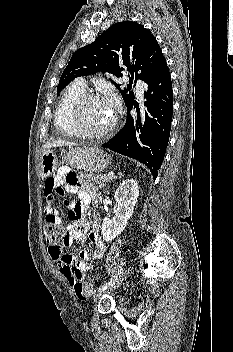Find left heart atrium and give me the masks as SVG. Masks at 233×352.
I'll return each mask as SVG.
<instances>
[{
    "instance_id": "1",
    "label": "left heart atrium",
    "mask_w": 233,
    "mask_h": 352,
    "mask_svg": "<svg viewBox=\"0 0 233 352\" xmlns=\"http://www.w3.org/2000/svg\"><path fill=\"white\" fill-rule=\"evenodd\" d=\"M106 103L110 106L111 109L115 110L117 106V102L113 97H110L106 100Z\"/></svg>"
}]
</instances>
